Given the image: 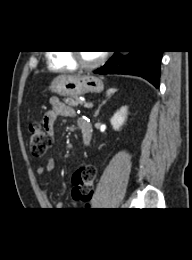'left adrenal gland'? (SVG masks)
Here are the masks:
<instances>
[{
	"label": "left adrenal gland",
	"mask_w": 192,
	"mask_h": 260,
	"mask_svg": "<svg viewBox=\"0 0 192 260\" xmlns=\"http://www.w3.org/2000/svg\"><path fill=\"white\" fill-rule=\"evenodd\" d=\"M116 92H117V89H108V90H107V92H106L107 99H106L105 101H103V103H102L101 105H99V107H98V109L96 110L95 115H94L95 118L98 116L99 111H100L102 105H104V104L106 103V101H107L108 99H110V97H111L114 93H116Z\"/></svg>",
	"instance_id": "1"
}]
</instances>
